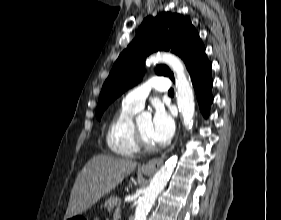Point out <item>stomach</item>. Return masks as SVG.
<instances>
[{"label": "stomach", "instance_id": "obj_1", "mask_svg": "<svg viewBox=\"0 0 281 220\" xmlns=\"http://www.w3.org/2000/svg\"><path fill=\"white\" fill-rule=\"evenodd\" d=\"M142 172H143V174H145V175H151L150 172H147V171H142ZM69 219H70V220H79V219H81V216H73V217H70Z\"/></svg>", "mask_w": 281, "mask_h": 220}]
</instances>
